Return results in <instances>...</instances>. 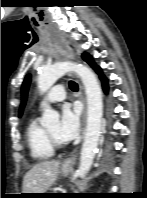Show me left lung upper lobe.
I'll return each mask as SVG.
<instances>
[{
    "instance_id": "left-lung-upper-lobe-1",
    "label": "left lung upper lobe",
    "mask_w": 147,
    "mask_h": 198,
    "mask_svg": "<svg viewBox=\"0 0 147 198\" xmlns=\"http://www.w3.org/2000/svg\"><path fill=\"white\" fill-rule=\"evenodd\" d=\"M85 54H83L82 57H84ZM31 75H27L23 84H22V104H21V107H20V110H19V115L22 114V111H23V108H24V105H25V101H26V96H27V92H28V87H29V84H30V81H31Z\"/></svg>"
}]
</instances>
